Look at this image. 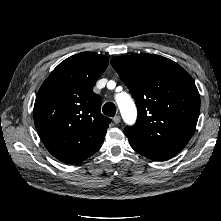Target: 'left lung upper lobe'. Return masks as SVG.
<instances>
[{
    "mask_svg": "<svg viewBox=\"0 0 221 221\" xmlns=\"http://www.w3.org/2000/svg\"><path fill=\"white\" fill-rule=\"evenodd\" d=\"M111 65L138 108L137 122L124 130L132 148L155 161L177 155L191 139L200 111L192 77L174 61L153 54L117 56Z\"/></svg>",
    "mask_w": 221,
    "mask_h": 221,
    "instance_id": "obj_1",
    "label": "left lung upper lobe"
}]
</instances>
